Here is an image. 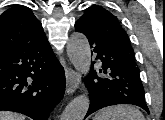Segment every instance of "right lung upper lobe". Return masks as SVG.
<instances>
[{
	"instance_id": "right-lung-upper-lobe-1",
	"label": "right lung upper lobe",
	"mask_w": 165,
	"mask_h": 120,
	"mask_svg": "<svg viewBox=\"0 0 165 120\" xmlns=\"http://www.w3.org/2000/svg\"><path fill=\"white\" fill-rule=\"evenodd\" d=\"M45 37L40 21L28 7L18 5L0 16V54Z\"/></svg>"
}]
</instances>
